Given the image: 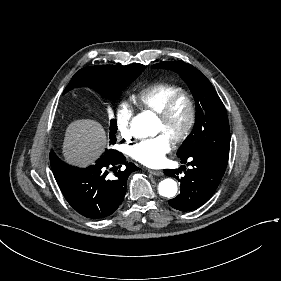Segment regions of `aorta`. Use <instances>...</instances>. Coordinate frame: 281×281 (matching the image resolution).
I'll list each match as a JSON object with an SVG mask.
<instances>
[{"mask_svg": "<svg viewBox=\"0 0 281 281\" xmlns=\"http://www.w3.org/2000/svg\"><path fill=\"white\" fill-rule=\"evenodd\" d=\"M131 129L136 137L144 138L157 134L156 120L151 113H141L133 118ZM161 196L171 198L177 193V183L173 179L162 180L158 186Z\"/></svg>", "mask_w": 281, "mask_h": 281, "instance_id": "1", "label": "aorta"}]
</instances>
